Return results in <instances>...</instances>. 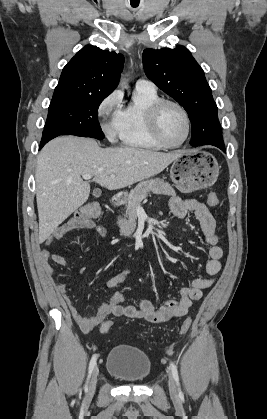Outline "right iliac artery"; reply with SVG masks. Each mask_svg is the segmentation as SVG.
Masks as SVG:
<instances>
[{
	"label": "right iliac artery",
	"instance_id": "right-iliac-artery-1",
	"mask_svg": "<svg viewBox=\"0 0 267 419\" xmlns=\"http://www.w3.org/2000/svg\"><path fill=\"white\" fill-rule=\"evenodd\" d=\"M96 360H97V355H96V354H94V355L92 356L91 360H90V363H89L88 378H87L86 385H85V387H84V388H85V391H87V389H88V380H89L90 375H91V373H92V371H93V369H94V367H95V365H96Z\"/></svg>",
	"mask_w": 267,
	"mask_h": 419
}]
</instances>
